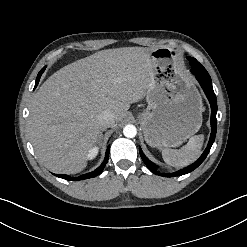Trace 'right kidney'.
<instances>
[{"mask_svg": "<svg viewBox=\"0 0 247 247\" xmlns=\"http://www.w3.org/2000/svg\"><path fill=\"white\" fill-rule=\"evenodd\" d=\"M98 150H99V148L98 147H93L89 152H88V154H87V159H89V160H92V159H94L96 156H97V154H98Z\"/></svg>", "mask_w": 247, "mask_h": 247, "instance_id": "1", "label": "right kidney"}]
</instances>
